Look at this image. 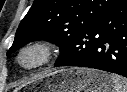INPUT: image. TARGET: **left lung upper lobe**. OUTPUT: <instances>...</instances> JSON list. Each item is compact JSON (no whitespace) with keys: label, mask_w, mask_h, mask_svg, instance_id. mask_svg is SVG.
Instances as JSON below:
<instances>
[{"label":"left lung upper lobe","mask_w":127,"mask_h":92,"mask_svg":"<svg viewBox=\"0 0 127 92\" xmlns=\"http://www.w3.org/2000/svg\"><path fill=\"white\" fill-rule=\"evenodd\" d=\"M123 1L35 0L21 21L7 55L31 41L43 39L60 46L62 56L82 31Z\"/></svg>","instance_id":"obj_1"}]
</instances>
